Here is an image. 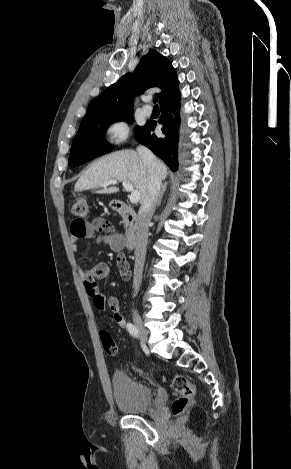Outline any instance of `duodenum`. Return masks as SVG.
<instances>
[{
    "instance_id": "1",
    "label": "duodenum",
    "mask_w": 291,
    "mask_h": 469,
    "mask_svg": "<svg viewBox=\"0 0 291 469\" xmlns=\"http://www.w3.org/2000/svg\"><path fill=\"white\" fill-rule=\"evenodd\" d=\"M114 208L119 214L123 215L127 221V231L124 237V246L127 249L132 250L136 246L138 238L139 225L137 213L132 207L122 201H115Z\"/></svg>"
}]
</instances>
